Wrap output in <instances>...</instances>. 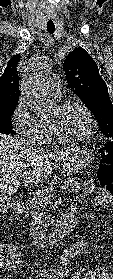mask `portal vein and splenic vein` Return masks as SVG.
<instances>
[{
    "instance_id": "18ae733b",
    "label": "portal vein and splenic vein",
    "mask_w": 113,
    "mask_h": 279,
    "mask_svg": "<svg viewBox=\"0 0 113 279\" xmlns=\"http://www.w3.org/2000/svg\"><path fill=\"white\" fill-rule=\"evenodd\" d=\"M25 175H26V172H19V174H18V176H20V177H24ZM62 188L65 189V186H63ZM51 197H52L51 195L47 196L46 200L51 199Z\"/></svg>"
}]
</instances>
